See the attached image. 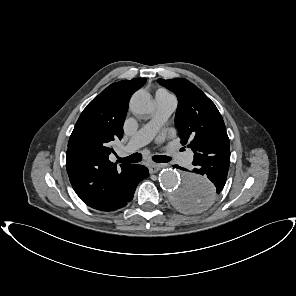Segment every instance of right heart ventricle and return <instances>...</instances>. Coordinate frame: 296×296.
I'll return each mask as SVG.
<instances>
[{"mask_svg": "<svg viewBox=\"0 0 296 296\" xmlns=\"http://www.w3.org/2000/svg\"><path fill=\"white\" fill-rule=\"evenodd\" d=\"M158 91H165V90L160 89V90H158Z\"/></svg>", "mask_w": 296, "mask_h": 296, "instance_id": "e07e8e85", "label": "right heart ventricle"}]
</instances>
